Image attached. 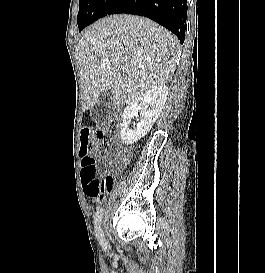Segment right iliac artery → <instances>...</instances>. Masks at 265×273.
Masks as SVG:
<instances>
[{
	"label": "right iliac artery",
	"mask_w": 265,
	"mask_h": 273,
	"mask_svg": "<svg viewBox=\"0 0 265 273\" xmlns=\"http://www.w3.org/2000/svg\"><path fill=\"white\" fill-rule=\"evenodd\" d=\"M103 211H104L103 208H101V209H99L97 211L96 216H95V220H94V224H95V235H96L100 245L103 248H106L107 247V241H106V239L104 237L102 227H101Z\"/></svg>",
	"instance_id": "82829eb1"
}]
</instances>
